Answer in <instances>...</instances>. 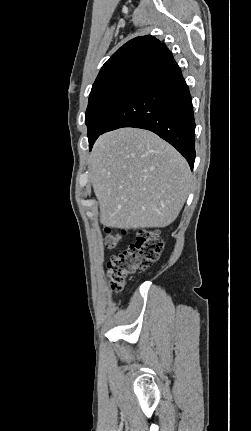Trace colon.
Returning <instances> with one entry per match:
<instances>
[{
    "instance_id": "5ec220e1",
    "label": "colon",
    "mask_w": 251,
    "mask_h": 431,
    "mask_svg": "<svg viewBox=\"0 0 251 431\" xmlns=\"http://www.w3.org/2000/svg\"><path fill=\"white\" fill-rule=\"evenodd\" d=\"M121 237L122 234L106 229V246L114 247ZM163 247L164 243L159 237L158 230L141 231L135 243L120 254L112 256L108 262L107 275L111 289L121 291L128 276L136 271L147 269L159 259Z\"/></svg>"
}]
</instances>
